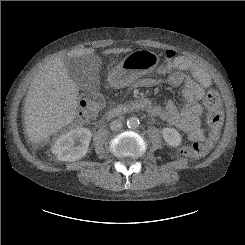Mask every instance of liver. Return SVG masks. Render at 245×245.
<instances>
[{
  "label": "liver",
  "instance_id": "6515ba94",
  "mask_svg": "<svg viewBox=\"0 0 245 245\" xmlns=\"http://www.w3.org/2000/svg\"><path fill=\"white\" fill-rule=\"evenodd\" d=\"M130 48H113L104 54L129 52ZM94 52L85 48L46 63L34 77L25 100V126L30 141L39 143L69 125L76 117L79 89L66 67L68 58Z\"/></svg>",
  "mask_w": 245,
  "mask_h": 245
}]
</instances>
